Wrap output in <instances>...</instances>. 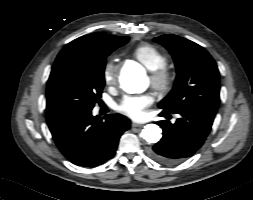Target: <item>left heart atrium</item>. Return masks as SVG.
Here are the masks:
<instances>
[{
  "label": "left heart atrium",
  "mask_w": 253,
  "mask_h": 200,
  "mask_svg": "<svg viewBox=\"0 0 253 200\" xmlns=\"http://www.w3.org/2000/svg\"><path fill=\"white\" fill-rule=\"evenodd\" d=\"M153 102L150 94H142L135 96H126L118 104V110L132 119H141L146 108Z\"/></svg>",
  "instance_id": "left-heart-atrium-1"
}]
</instances>
